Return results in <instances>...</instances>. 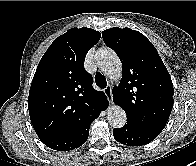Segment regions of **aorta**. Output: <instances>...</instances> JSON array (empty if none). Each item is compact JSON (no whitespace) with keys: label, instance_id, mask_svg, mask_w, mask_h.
<instances>
[{"label":"aorta","instance_id":"aorta-1","mask_svg":"<svg viewBox=\"0 0 196 166\" xmlns=\"http://www.w3.org/2000/svg\"><path fill=\"white\" fill-rule=\"evenodd\" d=\"M99 69L109 78L119 79L122 75V64L117 54L110 48L96 53ZM126 113L119 105H111L107 109V120L114 128H122L126 123Z\"/></svg>","mask_w":196,"mask_h":166}]
</instances>
